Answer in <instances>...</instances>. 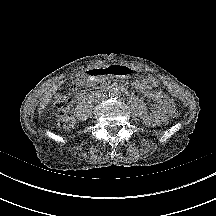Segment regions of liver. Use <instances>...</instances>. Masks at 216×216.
I'll return each mask as SVG.
<instances>
[{"instance_id": "obj_1", "label": "liver", "mask_w": 216, "mask_h": 216, "mask_svg": "<svg viewBox=\"0 0 216 216\" xmlns=\"http://www.w3.org/2000/svg\"><path fill=\"white\" fill-rule=\"evenodd\" d=\"M57 88H58L57 86H54L49 92L46 93L44 99L40 103V107H39V115L40 116L42 115V112H43V109H45V106L51 100L53 93L57 91Z\"/></svg>"}]
</instances>
